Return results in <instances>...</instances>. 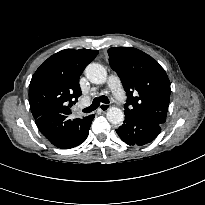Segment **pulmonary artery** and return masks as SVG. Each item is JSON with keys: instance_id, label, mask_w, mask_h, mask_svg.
I'll return each instance as SVG.
<instances>
[{"instance_id": "1", "label": "pulmonary artery", "mask_w": 205, "mask_h": 205, "mask_svg": "<svg viewBox=\"0 0 205 205\" xmlns=\"http://www.w3.org/2000/svg\"><path fill=\"white\" fill-rule=\"evenodd\" d=\"M108 86H109L111 92L113 93L115 99L120 104H125L126 96H125L124 90L122 88V84H121L119 77L116 75L109 76Z\"/></svg>"}]
</instances>
